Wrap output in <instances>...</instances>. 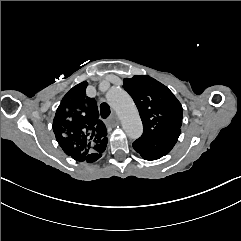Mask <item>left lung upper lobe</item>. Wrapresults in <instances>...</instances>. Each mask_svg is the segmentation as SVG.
<instances>
[{"label":"left lung upper lobe","instance_id":"left-lung-upper-lobe-1","mask_svg":"<svg viewBox=\"0 0 241 241\" xmlns=\"http://www.w3.org/2000/svg\"><path fill=\"white\" fill-rule=\"evenodd\" d=\"M123 88L133 98L144 131L139 142L154 146L168 133L181 132L183 109L174 94L150 76L124 79Z\"/></svg>","mask_w":241,"mask_h":241}]
</instances>
